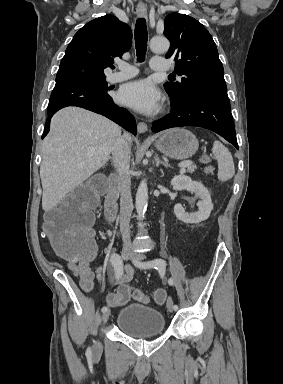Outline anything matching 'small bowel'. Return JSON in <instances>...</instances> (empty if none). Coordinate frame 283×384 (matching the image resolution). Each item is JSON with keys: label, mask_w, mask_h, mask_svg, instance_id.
<instances>
[{"label": "small bowel", "mask_w": 283, "mask_h": 384, "mask_svg": "<svg viewBox=\"0 0 283 384\" xmlns=\"http://www.w3.org/2000/svg\"><path fill=\"white\" fill-rule=\"evenodd\" d=\"M68 268L79 279L80 287L85 292H90L94 289L95 281L100 285L105 286L107 283L121 285L130 282L134 275V269L130 265L125 266V272L119 277L116 273L109 271L105 276V268L103 266L92 269L89 265V260L78 262H68Z\"/></svg>", "instance_id": "1"}]
</instances>
